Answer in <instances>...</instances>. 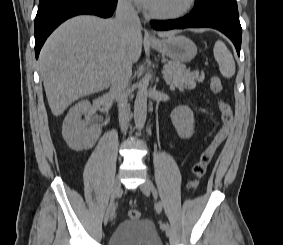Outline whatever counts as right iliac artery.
Masks as SVG:
<instances>
[{
	"mask_svg": "<svg viewBox=\"0 0 283 245\" xmlns=\"http://www.w3.org/2000/svg\"><path fill=\"white\" fill-rule=\"evenodd\" d=\"M110 204H111V207H112V219H113L115 217L116 206H115V203L113 201Z\"/></svg>",
	"mask_w": 283,
	"mask_h": 245,
	"instance_id": "82829eb1",
	"label": "right iliac artery"
}]
</instances>
